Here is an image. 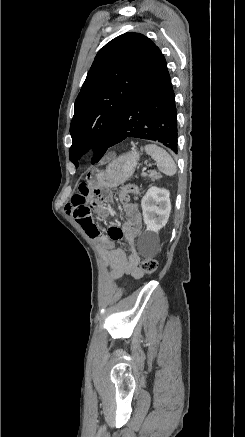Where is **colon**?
Instances as JSON below:
<instances>
[{"label": "colon", "mask_w": 245, "mask_h": 437, "mask_svg": "<svg viewBox=\"0 0 245 437\" xmlns=\"http://www.w3.org/2000/svg\"><path fill=\"white\" fill-rule=\"evenodd\" d=\"M139 193V189L135 185H127L120 192V199L123 202L129 200L130 195H136ZM158 267V262L154 257H148L144 259L140 264V269L144 274H153Z\"/></svg>", "instance_id": "1"}]
</instances>
